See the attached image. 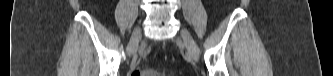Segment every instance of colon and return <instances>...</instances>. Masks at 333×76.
Segmentation results:
<instances>
[{"label":"colon","mask_w":333,"mask_h":76,"mask_svg":"<svg viewBox=\"0 0 333 76\" xmlns=\"http://www.w3.org/2000/svg\"><path fill=\"white\" fill-rule=\"evenodd\" d=\"M131 76H163V73H158L154 70H148L145 72L134 70L130 73Z\"/></svg>","instance_id":"colon-1"}]
</instances>
